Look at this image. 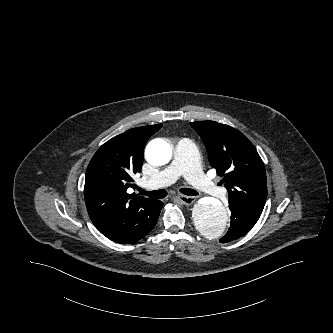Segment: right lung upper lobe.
<instances>
[{
    "label": "right lung upper lobe",
    "mask_w": 333,
    "mask_h": 333,
    "mask_svg": "<svg viewBox=\"0 0 333 333\" xmlns=\"http://www.w3.org/2000/svg\"><path fill=\"white\" fill-rule=\"evenodd\" d=\"M162 125L129 129L103 144L91 159L85 177L88 214L105 236L118 232L131 214L151 200L126 193L141 171L144 146Z\"/></svg>",
    "instance_id": "1"
}]
</instances>
